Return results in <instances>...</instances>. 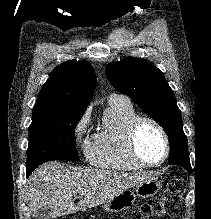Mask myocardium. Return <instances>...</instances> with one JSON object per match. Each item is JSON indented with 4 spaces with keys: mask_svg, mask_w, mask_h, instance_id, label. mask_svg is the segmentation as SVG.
<instances>
[{
    "mask_svg": "<svg viewBox=\"0 0 211 219\" xmlns=\"http://www.w3.org/2000/svg\"><path fill=\"white\" fill-rule=\"evenodd\" d=\"M143 123L152 124L162 135L164 141V154L162 159L154 164L145 162L139 155L137 148V133ZM127 149L133 161L142 168H158L166 163L170 156V140L164 127L154 118L149 116H138L129 124L126 135Z\"/></svg>",
    "mask_w": 211,
    "mask_h": 219,
    "instance_id": "f54148a6",
    "label": "myocardium"
}]
</instances>
